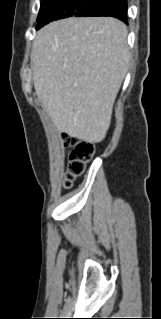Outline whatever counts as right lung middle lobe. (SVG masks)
<instances>
[{
    "instance_id": "dd1d6c3e",
    "label": "right lung middle lobe",
    "mask_w": 161,
    "mask_h": 319,
    "mask_svg": "<svg viewBox=\"0 0 161 319\" xmlns=\"http://www.w3.org/2000/svg\"><path fill=\"white\" fill-rule=\"evenodd\" d=\"M97 0H41L37 29L51 21L79 17L90 9Z\"/></svg>"
}]
</instances>
